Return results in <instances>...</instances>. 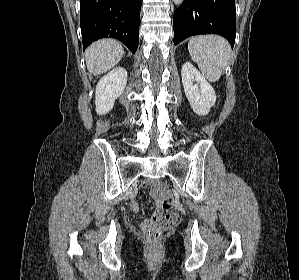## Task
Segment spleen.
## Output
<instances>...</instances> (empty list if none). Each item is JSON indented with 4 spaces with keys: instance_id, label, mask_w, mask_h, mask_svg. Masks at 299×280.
Segmentation results:
<instances>
[{
    "instance_id": "3e777b00",
    "label": "spleen",
    "mask_w": 299,
    "mask_h": 280,
    "mask_svg": "<svg viewBox=\"0 0 299 280\" xmlns=\"http://www.w3.org/2000/svg\"><path fill=\"white\" fill-rule=\"evenodd\" d=\"M188 50L202 74L211 82L219 80L231 57V47L222 37L203 35L189 40Z\"/></svg>"
}]
</instances>
